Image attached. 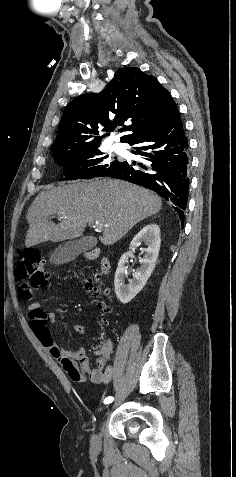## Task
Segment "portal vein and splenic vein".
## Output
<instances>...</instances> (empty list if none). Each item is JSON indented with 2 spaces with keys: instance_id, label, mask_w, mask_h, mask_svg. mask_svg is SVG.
I'll list each match as a JSON object with an SVG mask.
<instances>
[{
  "instance_id": "obj_1",
  "label": "portal vein and splenic vein",
  "mask_w": 236,
  "mask_h": 477,
  "mask_svg": "<svg viewBox=\"0 0 236 477\" xmlns=\"http://www.w3.org/2000/svg\"><path fill=\"white\" fill-rule=\"evenodd\" d=\"M93 227H94L96 230H100V229L103 227V225L100 224V223H95Z\"/></svg>"
}]
</instances>
